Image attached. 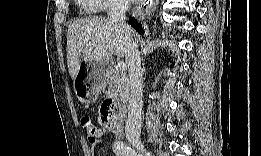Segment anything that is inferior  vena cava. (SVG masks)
Listing matches in <instances>:
<instances>
[{"label":"inferior vena cava","mask_w":261,"mask_h":156,"mask_svg":"<svg viewBox=\"0 0 261 156\" xmlns=\"http://www.w3.org/2000/svg\"><path fill=\"white\" fill-rule=\"evenodd\" d=\"M129 7L127 0H114L109 9L110 21L122 28L130 37V27L125 23V13ZM126 62L129 69L130 100L128 119L126 123L127 140L133 144H140L141 109H142V71L141 58L136 42L130 38L126 47Z\"/></svg>","instance_id":"obj_1"}]
</instances>
